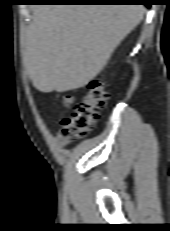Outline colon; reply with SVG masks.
<instances>
[{"mask_svg":"<svg viewBox=\"0 0 170 231\" xmlns=\"http://www.w3.org/2000/svg\"><path fill=\"white\" fill-rule=\"evenodd\" d=\"M108 100V93L103 81L92 80L87 87V92L77 103L73 113L62 120L61 134L68 140L85 137L100 118V112ZM72 98H64L65 105H70Z\"/></svg>","mask_w":170,"mask_h":231,"instance_id":"obj_1","label":"colon"}]
</instances>
